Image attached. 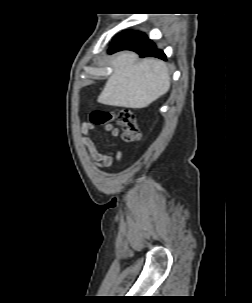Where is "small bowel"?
<instances>
[{
    "label": "small bowel",
    "mask_w": 252,
    "mask_h": 303,
    "mask_svg": "<svg viewBox=\"0 0 252 303\" xmlns=\"http://www.w3.org/2000/svg\"><path fill=\"white\" fill-rule=\"evenodd\" d=\"M94 127L88 123L83 122L80 131V141L84 146L85 153L89 160L96 166L101 168H107L114 164V162H120L123 158L122 149H116L113 152L101 153L95 144V142L89 137V132L92 131ZM104 131L110 132L114 139L119 138L120 131L114 128L112 125H106Z\"/></svg>",
    "instance_id": "small-bowel-1"
}]
</instances>
